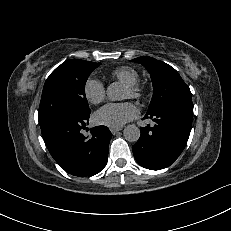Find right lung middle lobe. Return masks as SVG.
<instances>
[{
    "instance_id": "right-lung-middle-lobe-1",
    "label": "right lung middle lobe",
    "mask_w": 231,
    "mask_h": 231,
    "mask_svg": "<svg viewBox=\"0 0 231 231\" xmlns=\"http://www.w3.org/2000/svg\"><path fill=\"white\" fill-rule=\"evenodd\" d=\"M100 64L70 59L49 75L39 106L40 127L62 116L90 114L85 97V83L90 73Z\"/></svg>"
}]
</instances>
